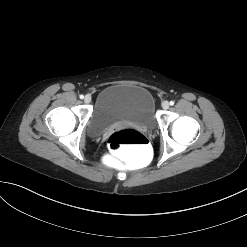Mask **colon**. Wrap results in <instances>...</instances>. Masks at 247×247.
<instances>
[{
	"instance_id": "obj_1",
	"label": "colon",
	"mask_w": 247,
	"mask_h": 247,
	"mask_svg": "<svg viewBox=\"0 0 247 247\" xmlns=\"http://www.w3.org/2000/svg\"><path fill=\"white\" fill-rule=\"evenodd\" d=\"M108 147L122 161L134 166H145L152 159V148L144 134L135 129L117 130L108 138Z\"/></svg>"
}]
</instances>
